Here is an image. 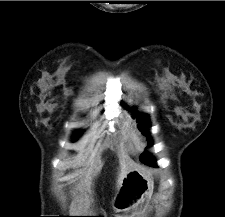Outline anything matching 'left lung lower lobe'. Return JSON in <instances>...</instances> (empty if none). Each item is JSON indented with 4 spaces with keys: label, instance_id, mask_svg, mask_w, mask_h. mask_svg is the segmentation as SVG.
Instances as JSON below:
<instances>
[{
    "label": "left lung lower lobe",
    "instance_id": "obj_1",
    "mask_svg": "<svg viewBox=\"0 0 225 217\" xmlns=\"http://www.w3.org/2000/svg\"><path fill=\"white\" fill-rule=\"evenodd\" d=\"M141 161L149 166H156L153 162V158L147 157L146 159H141Z\"/></svg>",
    "mask_w": 225,
    "mask_h": 217
}]
</instances>
